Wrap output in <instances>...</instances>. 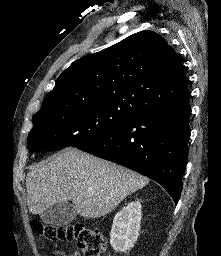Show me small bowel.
Returning a JSON list of instances; mask_svg holds the SVG:
<instances>
[{
    "label": "small bowel",
    "instance_id": "obj_1",
    "mask_svg": "<svg viewBox=\"0 0 221 256\" xmlns=\"http://www.w3.org/2000/svg\"><path fill=\"white\" fill-rule=\"evenodd\" d=\"M72 256H80L78 253H74Z\"/></svg>",
    "mask_w": 221,
    "mask_h": 256
}]
</instances>
